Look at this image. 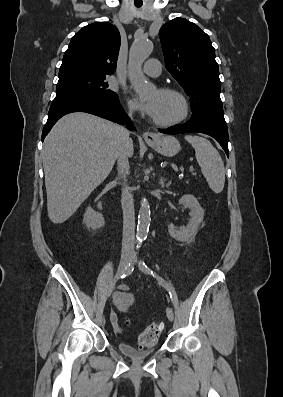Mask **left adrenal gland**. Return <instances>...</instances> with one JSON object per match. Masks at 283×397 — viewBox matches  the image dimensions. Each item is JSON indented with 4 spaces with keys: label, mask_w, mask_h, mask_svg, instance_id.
Here are the masks:
<instances>
[{
    "label": "left adrenal gland",
    "mask_w": 283,
    "mask_h": 397,
    "mask_svg": "<svg viewBox=\"0 0 283 397\" xmlns=\"http://www.w3.org/2000/svg\"><path fill=\"white\" fill-rule=\"evenodd\" d=\"M159 184L161 185V187L168 188L170 186L171 182H168L167 184H165V178L164 177H160Z\"/></svg>",
    "instance_id": "1"
}]
</instances>
